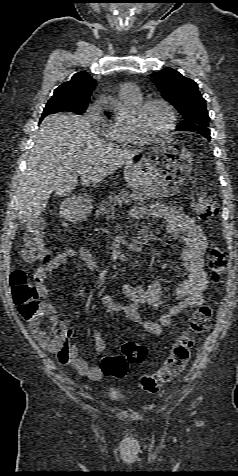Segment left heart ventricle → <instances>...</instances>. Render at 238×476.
<instances>
[{
	"label": "left heart ventricle",
	"mask_w": 238,
	"mask_h": 476,
	"mask_svg": "<svg viewBox=\"0 0 238 476\" xmlns=\"http://www.w3.org/2000/svg\"><path fill=\"white\" fill-rule=\"evenodd\" d=\"M168 124L169 114L160 104L150 105L139 119L141 129L149 134L162 132Z\"/></svg>",
	"instance_id": "1"
}]
</instances>
